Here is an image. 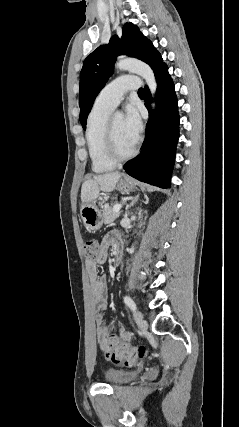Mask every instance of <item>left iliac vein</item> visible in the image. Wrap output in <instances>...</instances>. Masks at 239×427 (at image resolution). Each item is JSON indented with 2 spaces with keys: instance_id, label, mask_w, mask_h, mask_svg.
<instances>
[{
  "instance_id": "1",
  "label": "left iliac vein",
  "mask_w": 239,
  "mask_h": 427,
  "mask_svg": "<svg viewBox=\"0 0 239 427\" xmlns=\"http://www.w3.org/2000/svg\"><path fill=\"white\" fill-rule=\"evenodd\" d=\"M134 319L141 330H146L148 328V323L144 319L143 314L140 311L134 312Z\"/></svg>"
}]
</instances>
